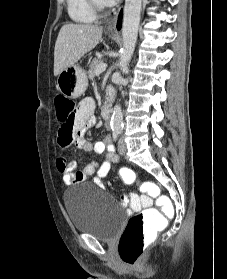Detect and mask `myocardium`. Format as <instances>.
Segmentation results:
<instances>
[{"instance_id":"f54148a6","label":"myocardium","mask_w":227,"mask_h":279,"mask_svg":"<svg viewBox=\"0 0 227 279\" xmlns=\"http://www.w3.org/2000/svg\"><path fill=\"white\" fill-rule=\"evenodd\" d=\"M87 2L95 15H101L106 10L105 5L98 3L97 0H87Z\"/></svg>"}]
</instances>
